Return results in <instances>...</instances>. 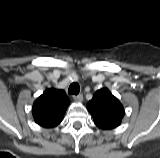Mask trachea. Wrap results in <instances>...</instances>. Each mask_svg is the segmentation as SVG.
<instances>
[{
  "label": "trachea",
  "instance_id": "obj_1",
  "mask_svg": "<svg viewBox=\"0 0 160 158\" xmlns=\"http://www.w3.org/2000/svg\"><path fill=\"white\" fill-rule=\"evenodd\" d=\"M80 92V86L78 83H72L69 86L68 93L72 95H77Z\"/></svg>",
  "mask_w": 160,
  "mask_h": 158
}]
</instances>
